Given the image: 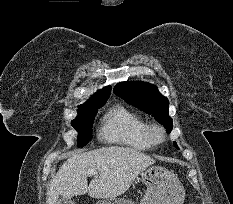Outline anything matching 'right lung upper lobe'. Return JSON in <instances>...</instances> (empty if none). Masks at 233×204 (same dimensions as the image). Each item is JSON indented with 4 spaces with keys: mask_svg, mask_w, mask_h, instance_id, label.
<instances>
[{
    "mask_svg": "<svg viewBox=\"0 0 233 204\" xmlns=\"http://www.w3.org/2000/svg\"><path fill=\"white\" fill-rule=\"evenodd\" d=\"M111 93V87L107 86L95 93L85 104L80 105V109H86L94 104L107 101Z\"/></svg>",
    "mask_w": 233,
    "mask_h": 204,
    "instance_id": "1",
    "label": "right lung upper lobe"
}]
</instances>
